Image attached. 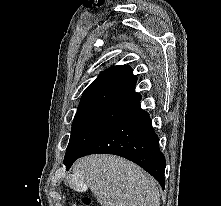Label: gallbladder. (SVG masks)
<instances>
[{"mask_svg":"<svg viewBox=\"0 0 221 206\" xmlns=\"http://www.w3.org/2000/svg\"><path fill=\"white\" fill-rule=\"evenodd\" d=\"M67 186H71V190H88V185H85V181H67Z\"/></svg>","mask_w":221,"mask_h":206,"instance_id":"gallbladder-1","label":"gallbladder"}]
</instances>
